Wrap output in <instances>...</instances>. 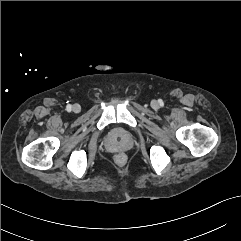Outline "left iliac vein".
<instances>
[{
	"mask_svg": "<svg viewBox=\"0 0 241 241\" xmlns=\"http://www.w3.org/2000/svg\"><path fill=\"white\" fill-rule=\"evenodd\" d=\"M151 106H152V108L157 109L159 104H158V102L156 100H152L151 101Z\"/></svg>",
	"mask_w": 241,
	"mask_h": 241,
	"instance_id": "4c4485c4",
	"label": "left iliac vein"
}]
</instances>
